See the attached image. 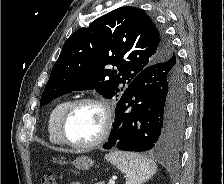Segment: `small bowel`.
Here are the masks:
<instances>
[{
	"instance_id": "small-bowel-1",
	"label": "small bowel",
	"mask_w": 224,
	"mask_h": 184,
	"mask_svg": "<svg viewBox=\"0 0 224 184\" xmlns=\"http://www.w3.org/2000/svg\"><path fill=\"white\" fill-rule=\"evenodd\" d=\"M71 184H81V183H79V182H74V183H71Z\"/></svg>"
}]
</instances>
